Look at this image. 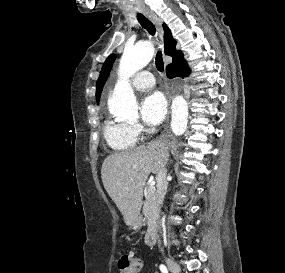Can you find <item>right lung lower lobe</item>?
<instances>
[{
    "instance_id": "right-lung-lower-lobe-1",
    "label": "right lung lower lobe",
    "mask_w": 285,
    "mask_h": 273,
    "mask_svg": "<svg viewBox=\"0 0 285 273\" xmlns=\"http://www.w3.org/2000/svg\"><path fill=\"white\" fill-rule=\"evenodd\" d=\"M190 73L189 67L187 65V62L182 59L178 62L172 63L167 66L166 68V74L168 78H174V77H186Z\"/></svg>"
}]
</instances>
